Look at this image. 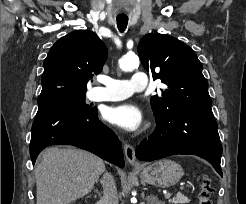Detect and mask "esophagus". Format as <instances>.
Masks as SVG:
<instances>
[{
	"label": "esophagus",
	"instance_id": "esophagus-1",
	"mask_svg": "<svg viewBox=\"0 0 246 204\" xmlns=\"http://www.w3.org/2000/svg\"><path fill=\"white\" fill-rule=\"evenodd\" d=\"M124 153L129 164L135 167H139V163L136 160L135 149L130 144H124Z\"/></svg>",
	"mask_w": 246,
	"mask_h": 204
}]
</instances>
